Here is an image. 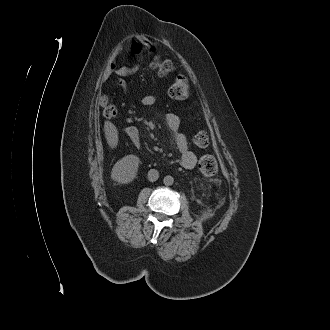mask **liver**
<instances>
[{"label": "liver", "instance_id": "obj_1", "mask_svg": "<svg viewBox=\"0 0 330 330\" xmlns=\"http://www.w3.org/2000/svg\"><path fill=\"white\" fill-rule=\"evenodd\" d=\"M104 131L108 144L115 147L118 143V131L115 125L109 121L104 123Z\"/></svg>", "mask_w": 330, "mask_h": 330}]
</instances>
